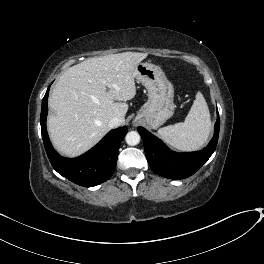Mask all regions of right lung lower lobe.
I'll use <instances>...</instances> for the list:
<instances>
[{"label": "right lung lower lobe", "instance_id": "right-lung-lower-lobe-1", "mask_svg": "<svg viewBox=\"0 0 264 264\" xmlns=\"http://www.w3.org/2000/svg\"><path fill=\"white\" fill-rule=\"evenodd\" d=\"M49 88L42 100L41 132L47 156L53 168L62 176L83 187H93L107 181L114 173L118 151L127 127L110 131L94 148L87 153L68 159L60 156L52 147L46 129Z\"/></svg>", "mask_w": 264, "mask_h": 264}]
</instances>
